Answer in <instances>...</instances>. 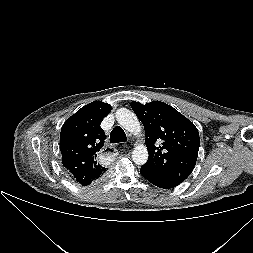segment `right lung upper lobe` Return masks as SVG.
Instances as JSON below:
<instances>
[{
  "mask_svg": "<svg viewBox=\"0 0 253 253\" xmlns=\"http://www.w3.org/2000/svg\"><path fill=\"white\" fill-rule=\"evenodd\" d=\"M110 111L109 104L94 101L79 109L61 128L60 151L63 166L82 186L96 182L107 170L97 163L96 157L104 146L105 139L100 124Z\"/></svg>",
  "mask_w": 253,
  "mask_h": 253,
  "instance_id": "right-lung-upper-lobe-1",
  "label": "right lung upper lobe"
}]
</instances>
